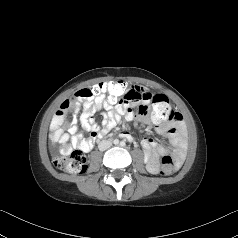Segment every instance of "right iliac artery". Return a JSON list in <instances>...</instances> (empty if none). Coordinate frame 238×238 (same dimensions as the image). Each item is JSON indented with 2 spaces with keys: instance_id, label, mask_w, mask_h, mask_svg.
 Wrapping results in <instances>:
<instances>
[{
  "instance_id": "1",
  "label": "right iliac artery",
  "mask_w": 238,
  "mask_h": 238,
  "mask_svg": "<svg viewBox=\"0 0 238 238\" xmlns=\"http://www.w3.org/2000/svg\"><path fill=\"white\" fill-rule=\"evenodd\" d=\"M119 143V140L115 139L114 144L117 145Z\"/></svg>"
}]
</instances>
